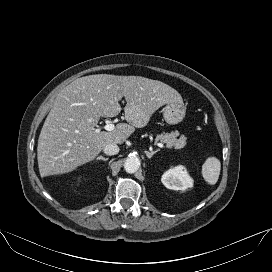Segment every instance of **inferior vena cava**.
<instances>
[{
	"instance_id": "1",
	"label": "inferior vena cava",
	"mask_w": 272,
	"mask_h": 272,
	"mask_svg": "<svg viewBox=\"0 0 272 272\" xmlns=\"http://www.w3.org/2000/svg\"><path fill=\"white\" fill-rule=\"evenodd\" d=\"M103 151L106 155L112 156L119 153V147L114 143H110L104 147Z\"/></svg>"
}]
</instances>
